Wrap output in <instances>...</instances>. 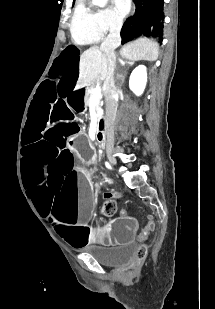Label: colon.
I'll return each mask as SVG.
<instances>
[{"mask_svg": "<svg viewBox=\"0 0 215 309\" xmlns=\"http://www.w3.org/2000/svg\"><path fill=\"white\" fill-rule=\"evenodd\" d=\"M117 210V200L115 196L111 193L105 195V201L102 205L101 213L105 217L114 216ZM147 247L145 245H140L138 248V256L144 257L147 254Z\"/></svg>", "mask_w": 215, "mask_h": 309, "instance_id": "colon-1", "label": "colon"}]
</instances>
